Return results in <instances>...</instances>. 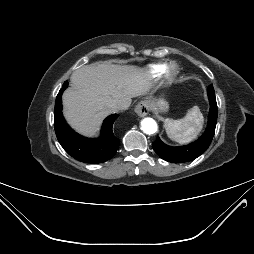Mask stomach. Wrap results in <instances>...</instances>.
Returning a JSON list of instances; mask_svg holds the SVG:
<instances>
[{
	"instance_id": "1",
	"label": "stomach",
	"mask_w": 254,
	"mask_h": 254,
	"mask_svg": "<svg viewBox=\"0 0 254 254\" xmlns=\"http://www.w3.org/2000/svg\"><path fill=\"white\" fill-rule=\"evenodd\" d=\"M149 103L150 108L157 113L168 111L169 104L164 97L151 98Z\"/></svg>"
}]
</instances>
